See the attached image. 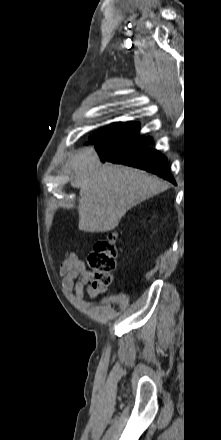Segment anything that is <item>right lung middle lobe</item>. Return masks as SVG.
<instances>
[{
    "label": "right lung middle lobe",
    "instance_id": "1",
    "mask_svg": "<svg viewBox=\"0 0 221 440\" xmlns=\"http://www.w3.org/2000/svg\"><path fill=\"white\" fill-rule=\"evenodd\" d=\"M121 126V123H112L110 124L108 127L98 131L92 138H91V142L92 143H96L97 141L105 138L106 136H108L109 134H111L113 131H115L118 127Z\"/></svg>",
    "mask_w": 221,
    "mask_h": 440
}]
</instances>
